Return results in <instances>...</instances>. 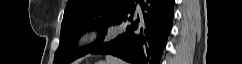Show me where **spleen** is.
<instances>
[{
    "mask_svg": "<svg viewBox=\"0 0 242 64\" xmlns=\"http://www.w3.org/2000/svg\"><path fill=\"white\" fill-rule=\"evenodd\" d=\"M106 62H107V64H126L122 60H120L116 57H113V56H109V55L106 57Z\"/></svg>",
    "mask_w": 242,
    "mask_h": 64,
    "instance_id": "1",
    "label": "spleen"
}]
</instances>
